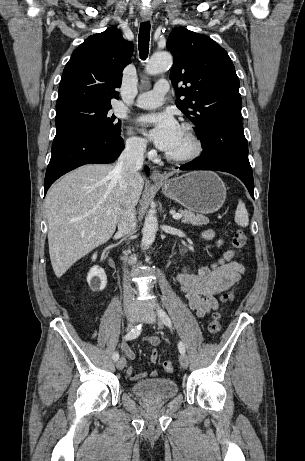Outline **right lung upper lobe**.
Instances as JSON below:
<instances>
[{"label":"right lung upper lobe","instance_id":"1","mask_svg":"<svg viewBox=\"0 0 305 461\" xmlns=\"http://www.w3.org/2000/svg\"><path fill=\"white\" fill-rule=\"evenodd\" d=\"M133 44L116 27L88 37L74 50L59 85L56 107L118 99L122 71L131 62Z\"/></svg>","mask_w":305,"mask_h":461}]
</instances>
